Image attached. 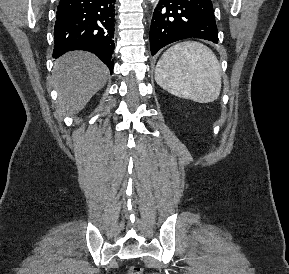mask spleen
<instances>
[{
  "mask_svg": "<svg viewBox=\"0 0 289 274\" xmlns=\"http://www.w3.org/2000/svg\"><path fill=\"white\" fill-rule=\"evenodd\" d=\"M155 80L175 96L208 103L220 94L221 67L208 47L185 41L173 45L162 55L155 69Z\"/></svg>",
  "mask_w": 289,
  "mask_h": 274,
  "instance_id": "obj_1",
  "label": "spleen"
}]
</instances>
